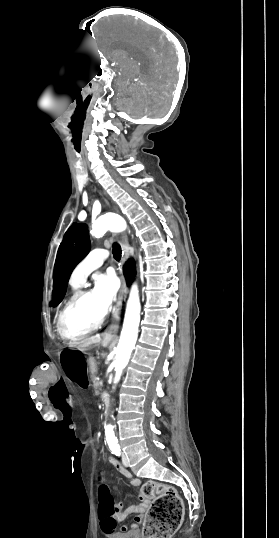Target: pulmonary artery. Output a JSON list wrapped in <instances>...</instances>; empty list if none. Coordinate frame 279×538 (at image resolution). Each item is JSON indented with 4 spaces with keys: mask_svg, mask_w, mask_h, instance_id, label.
<instances>
[{
    "mask_svg": "<svg viewBox=\"0 0 279 538\" xmlns=\"http://www.w3.org/2000/svg\"><path fill=\"white\" fill-rule=\"evenodd\" d=\"M106 258L98 260L95 258L84 259L75 269L72 279L78 283H84L88 275L100 267Z\"/></svg>",
    "mask_w": 279,
    "mask_h": 538,
    "instance_id": "obj_1",
    "label": "pulmonary artery"
}]
</instances>
